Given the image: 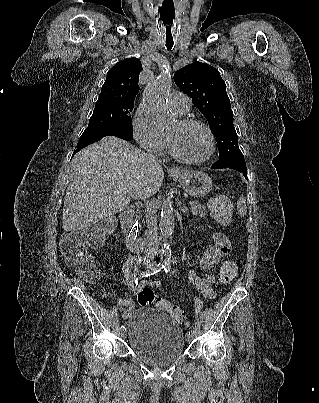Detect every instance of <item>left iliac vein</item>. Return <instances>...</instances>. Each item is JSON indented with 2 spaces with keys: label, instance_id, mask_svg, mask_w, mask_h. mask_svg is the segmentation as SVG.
Listing matches in <instances>:
<instances>
[{
  "label": "left iliac vein",
  "instance_id": "obj_1",
  "mask_svg": "<svg viewBox=\"0 0 319 403\" xmlns=\"http://www.w3.org/2000/svg\"><path fill=\"white\" fill-rule=\"evenodd\" d=\"M193 338H194L193 335H189V334L186 335V341L187 342H191L193 340Z\"/></svg>",
  "mask_w": 319,
  "mask_h": 403
}]
</instances>
